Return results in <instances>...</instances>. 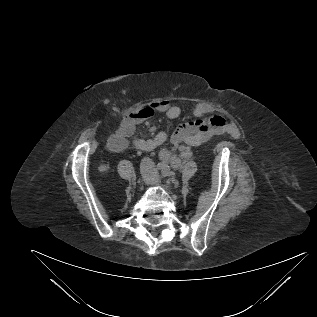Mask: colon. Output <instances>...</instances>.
<instances>
[{
  "label": "colon",
  "mask_w": 317,
  "mask_h": 317,
  "mask_svg": "<svg viewBox=\"0 0 317 317\" xmlns=\"http://www.w3.org/2000/svg\"><path fill=\"white\" fill-rule=\"evenodd\" d=\"M155 113V108L154 107H145L137 111L136 113L132 114L131 117L135 120L138 119H145L153 116Z\"/></svg>",
  "instance_id": "colon-1"
}]
</instances>
